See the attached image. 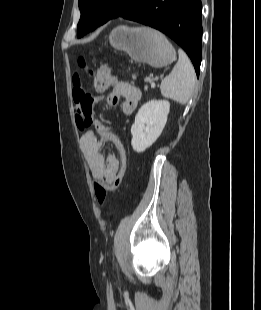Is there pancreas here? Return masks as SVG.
<instances>
[{"label": "pancreas", "instance_id": "pancreas-1", "mask_svg": "<svg viewBox=\"0 0 261 310\" xmlns=\"http://www.w3.org/2000/svg\"><path fill=\"white\" fill-rule=\"evenodd\" d=\"M145 82L151 83V82H152V78H151V77H146V78H145ZM147 89H148V86H145V87H144V90H147Z\"/></svg>", "mask_w": 261, "mask_h": 310}]
</instances>
